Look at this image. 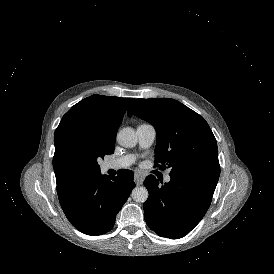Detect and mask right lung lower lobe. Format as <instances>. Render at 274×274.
Instances as JSON below:
<instances>
[{
    "mask_svg": "<svg viewBox=\"0 0 274 274\" xmlns=\"http://www.w3.org/2000/svg\"><path fill=\"white\" fill-rule=\"evenodd\" d=\"M134 173L123 170L110 179L101 172L89 174L65 192L58 194L69 221L82 233L101 235L112 229L117 213L128 199Z\"/></svg>",
    "mask_w": 274,
    "mask_h": 274,
    "instance_id": "right-lung-lower-lobe-1",
    "label": "right lung lower lobe"
}]
</instances>
